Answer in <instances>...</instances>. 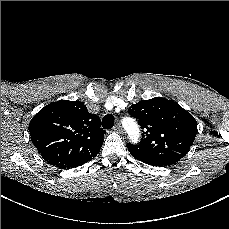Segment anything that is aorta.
Here are the masks:
<instances>
[{"instance_id":"762f6f07","label":"aorta","mask_w":229,"mask_h":229,"mask_svg":"<svg viewBox=\"0 0 229 229\" xmlns=\"http://www.w3.org/2000/svg\"><path fill=\"white\" fill-rule=\"evenodd\" d=\"M127 120H130V119H127ZM129 136H130V138H131V140L133 142L138 141L139 129H138L137 125L134 122H132V125H131V127L129 129Z\"/></svg>"}]
</instances>
